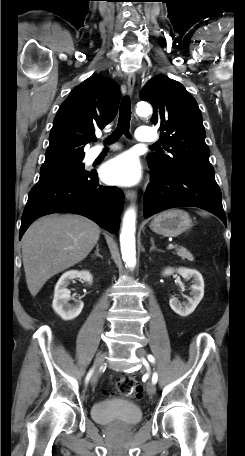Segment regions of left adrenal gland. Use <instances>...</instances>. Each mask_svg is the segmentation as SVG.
Segmentation results:
<instances>
[{
    "instance_id": "a2214340",
    "label": "left adrenal gland",
    "mask_w": 245,
    "mask_h": 456,
    "mask_svg": "<svg viewBox=\"0 0 245 456\" xmlns=\"http://www.w3.org/2000/svg\"><path fill=\"white\" fill-rule=\"evenodd\" d=\"M150 242H151L150 251H161L160 249H157V247L155 246V242H154L153 238L150 239Z\"/></svg>"
}]
</instances>
